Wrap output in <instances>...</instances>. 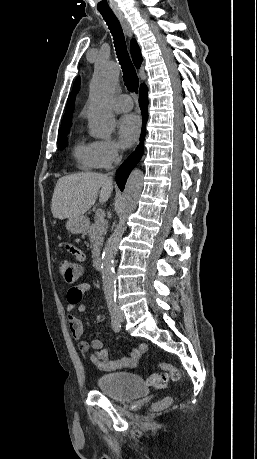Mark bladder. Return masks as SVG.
I'll return each instance as SVG.
<instances>
[{
  "instance_id": "obj_1",
  "label": "bladder",
  "mask_w": 257,
  "mask_h": 459,
  "mask_svg": "<svg viewBox=\"0 0 257 459\" xmlns=\"http://www.w3.org/2000/svg\"><path fill=\"white\" fill-rule=\"evenodd\" d=\"M97 389L118 401H132L148 394L141 377L132 373H111L96 379Z\"/></svg>"
}]
</instances>
